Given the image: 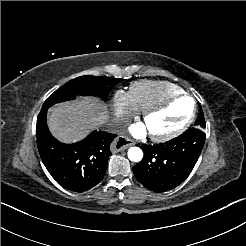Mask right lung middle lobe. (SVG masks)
<instances>
[{
	"mask_svg": "<svg viewBox=\"0 0 246 246\" xmlns=\"http://www.w3.org/2000/svg\"><path fill=\"white\" fill-rule=\"evenodd\" d=\"M121 80L103 76H81L72 79L50 95L42 109H48L59 102L75 99L77 95L97 96L106 101L110 89Z\"/></svg>",
	"mask_w": 246,
	"mask_h": 246,
	"instance_id": "1",
	"label": "right lung middle lobe"
}]
</instances>
